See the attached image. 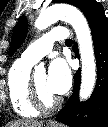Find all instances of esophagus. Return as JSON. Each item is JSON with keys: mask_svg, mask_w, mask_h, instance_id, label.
<instances>
[{"mask_svg": "<svg viewBox=\"0 0 108 127\" xmlns=\"http://www.w3.org/2000/svg\"><path fill=\"white\" fill-rule=\"evenodd\" d=\"M54 124V122L52 121V122H50V125H53Z\"/></svg>", "mask_w": 108, "mask_h": 127, "instance_id": "obj_1", "label": "esophagus"}]
</instances>
